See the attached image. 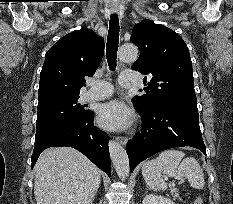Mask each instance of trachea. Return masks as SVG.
I'll list each match as a JSON object with an SVG mask.
<instances>
[{
    "instance_id": "trachea-1",
    "label": "trachea",
    "mask_w": 233,
    "mask_h": 204,
    "mask_svg": "<svg viewBox=\"0 0 233 204\" xmlns=\"http://www.w3.org/2000/svg\"><path fill=\"white\" fill-rule=\"evenodd\" d=\"M119 43V19L117 14H112L109 22L106 56L110 70H115L117 50Z\"/></svg>"
}]
</instances>
